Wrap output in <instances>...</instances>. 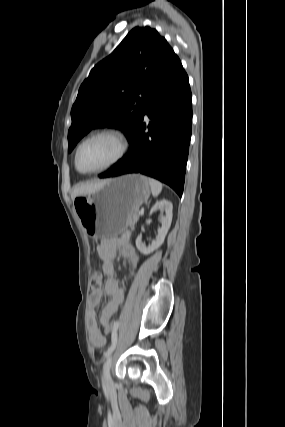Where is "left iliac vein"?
<instances>
[{"mask_svg":"<svg viewBox=\"0 0 285 427\" xmlns=\"http://www.w3.org/2000/svg\"><path fill=\"white\" fill-rule=\"evenodd\" d=\"M112 359H113V356L111 354V355L108 356V358H107V360H106V362L104 364V368H103L104 382H105V385H106L107 389H112L113 388V381H112V378H111V375H110V368H111V365H112Z\"/></svg>","mask_w":285,"mask_h":427,"instance_id":"left-iliac-vein-1","label":"left iliac vein"}]
</instances>
